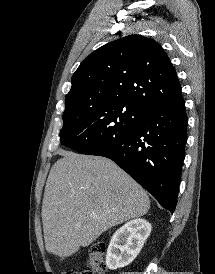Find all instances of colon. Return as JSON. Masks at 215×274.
<instances>
[{"instance_id":"colon-1","label":"colon","mask_w":215,"mask_h":274,"mask_svg":"<svg viewBox=\"0 0 215 274\" xmlns=\"http://www.w3.org/2000/svg\"><path fill=\"white\" fill-rule=\"evenodd\" d=\"M106 245L104 242L94 243L89 250L88 269L85 271H68L65 274H104Z\"/></svg>"}]
</instances>
